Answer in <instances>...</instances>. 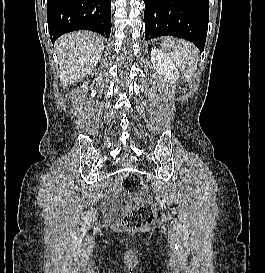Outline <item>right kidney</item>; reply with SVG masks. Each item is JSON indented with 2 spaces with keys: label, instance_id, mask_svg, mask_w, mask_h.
Returning <instances> with one entry per match:
<instances>
[{
  "label": "right kidney",
  "instance_id": "obj_1",
  "mask_svg": "<svg viewBox=\"0 0 265 273\" xmlns=\"http://www.w3.org/2000/svg\"><path fill=\"white\" fill-rule=\"evenodd\" d=\"M82 88L85 89V90L88 89L87 82H85V84H83Z\"/></svg>",
  "mask_w": 265,
  "mask_h": 273
}]
</instances>
